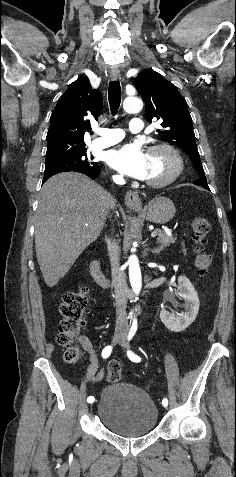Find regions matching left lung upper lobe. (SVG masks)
Returning a JSON list of instances; mask_svg holds the SVG:
<instances>
[{
  "label": "left lung upper lobe",
  "instance_id": "1",
  "mask_svg": "<svg viewBox=\"0 0 236 477\" xmlns=\"http://www.w3.org/2000/svg\"><path fill=\"white\" fill-rule=\"evenodd\" d=\"M135 86L145 101L146 120L162 121V129L157 130L160 137L187 153L200 176L194 184L208 189L186 100L171 82L152 69L139 73Z\"/></svg>",
  "mask_w": 236,
  "mask_h": 477
}]
</instances>
